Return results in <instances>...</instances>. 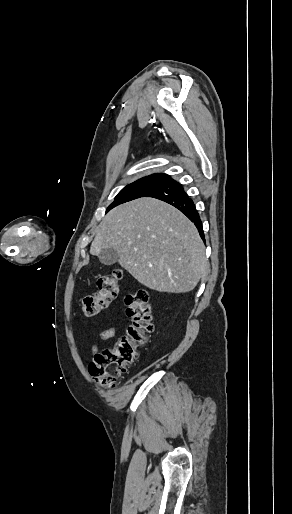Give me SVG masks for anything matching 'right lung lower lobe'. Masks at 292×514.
Returning <instances> with one entry per match:
<instances>
[{
    "mask_svg": "<svg viewBox=\"0 0 292 514\" xmlns=\"http://www.w3.org/2000/svg\"><path fill=\"white\" fill-rule=\"evenodd\" d=\"M142 197H153L179 209L195 224L201 238L205 241L202 222L196 207L192 199L184 191V188L177 181L168 178L150 189Z\"/></svg>",
    "mask_w": 292,
    "mask_h": 514,
    "instance_id": "right-lung-lower-lobe-1",
    "label": "right lung lower lobe"
}]
</instances>
